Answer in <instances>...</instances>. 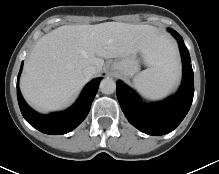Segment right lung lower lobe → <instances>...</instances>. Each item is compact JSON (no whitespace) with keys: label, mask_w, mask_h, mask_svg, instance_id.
<instances>
[{"label":"right lung lower lobe","mask_w":219,"mask_h":174,"mask_svg":"<svg viewBox=\"0 0 219 174\" xmlns=\"http://www.w3.org/2000/svg\"><path fill=\"white\" fill-rule=\"evenodd\" d=\"M101 79L102 77H99L89 82L77 102L71 108L64 112L49 115L38 114L26 104L20 93L17 81V99L21 113L30 125L42 133L52 135L66 134L76 128L89 113Z\"/></svg>","instance_id":"right-lung-lower-lobe-1"}]
</instances>
